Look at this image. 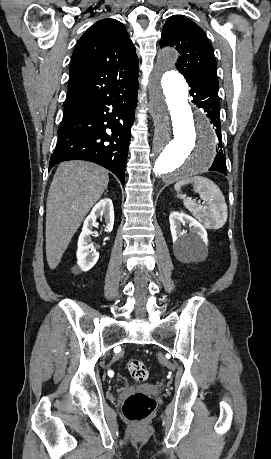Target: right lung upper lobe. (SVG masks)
<instances>
[{
    "label": "right lung upper lobe",
    "instance_id": "obj_1",
    "mask_svg": "<svg viewBox=\"0 0 271 459\" xmlns=\"http://www.w3.org/2000/svg\"><path fill=\"white\" fill-rule=\"evenodd\" d=\"M138 57L125 26L115 19L92 25L72 55L64 113L138 76Z\"/></svg>",
    "mask_w": 271,
    "mask_h": 459
}]
</instances>
